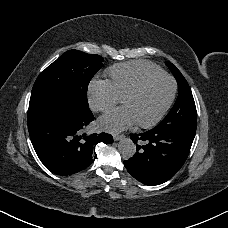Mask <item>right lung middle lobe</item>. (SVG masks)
Wrapping results in <instances>:
<instances>
[{"mask_svg":"<svg viewBox=\"0 0 228 228\" xmlns=\"http://www.w3.org/2000/svg\"><path fill=\"white\" fill-rule=\"evenodd\" d=\"M103 58L69 50L49 65L36 79L29 109L60 104L69 112L83 116L92 113L87 101L91 78L103 66Z\"/></svg>","mask_w":228,"mask_h":228,"instance_id":"obj_1","label":"right lung middle lobe"}]
</instances>
